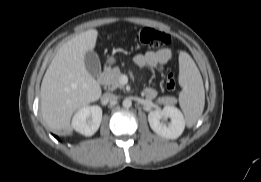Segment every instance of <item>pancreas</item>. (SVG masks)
I'll list each match as a JSON object with an SVG mask.
<instances>
[{
  "instance_id": "1",
  "label": "pancreas",
  "mask_w": 261,
  "mask_h": 182,
  "mask_svg": "<svg viewBox=\"0 0 261 182\" xmlns=\"http://www.w3.org/2000/svg\"><path fill=\"white\" fill-rule=\"evenodd\" d=\"M122 76L119 67H114L110 71L104 74L105 84L111 89L124 88V85L120 83V77ZM172 101H174L172 99Z\"/></svg>"
}]
</instances>
